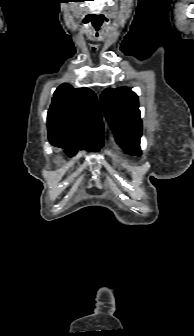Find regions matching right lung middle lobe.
<instances>
[{
    "instance_id": "1",
    "label": "right lung middle lobe",
    "mask_w": 194,
    "mask_h": 336,
    "mask_svg": "<svg viewBox=\"0 0 194 336\" xmlns=\"http://www.w3.org/2000/svg\"><path fill=\"white\" fill-rule=\"evenodd\" d=\"M56 147L65 149L68 156L72 157L76 154L78 149H85L88 151H99L103 146V140L100 141H80L67 138H56L51 142Z\"/></svg>"
}]
</instances>
